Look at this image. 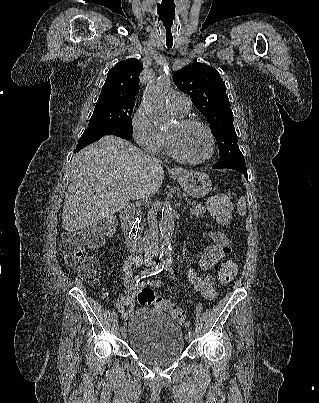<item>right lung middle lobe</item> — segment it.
I'll return each mask as SVG.
<instances>
[{"label": "right lung middle lobe", "instance_id": "1", "mask_svg": "<svg viewBox=\"0 0 319 403\" xmlns=\"http://www.w3.org/2000/svg\"><path fill=\"white\" fill-rule=\"evenodd\" d=\"M133 108L134 104L96 103L89 127L113 126L132 133Z\"/></svg>", "mask_w": 319, "mask_h": 403}]
</instances>
